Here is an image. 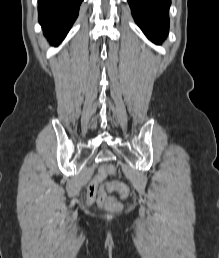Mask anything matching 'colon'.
I'll list each match as a JSON object with an SVG mask.
<instances>
[{"instance_id":"obj_1","label":"colon","mask_w":219,"mask_h":258,"mask_svg":"<svg viewBox=\"0 0 219 258\" xmlns=\"http://www.w3.org/2000/svg\"><path fill=\"white\" fill-rule=\"evenodd\" d=\"M116 167L114 165H103L95 178L92 180L88 187L87 200L90 204L96 203L100 207H104L108 210H118L120 208L119 202L109 196L104 188L103 181L107 176H113L116 174ZM111 188L118 191L121 198H127L130 195L128 186L122 182L114 181L109 185Z\"/></svg>"}]
</instances>
